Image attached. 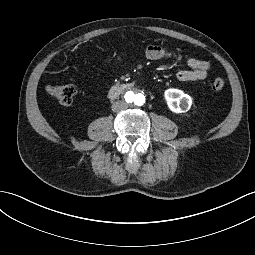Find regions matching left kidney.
I'll return each mask as SVG.
<instances>
[{
    "label": "left kidney",
    "instance_id": "5707ae66",
    "mask_svg": "<svg viewBox=\"0 0 255 255\" xmlns=\"http://www.w3.org/2000/svg\"><path fill=\"white\" fill-rule=\"evenodd\" d=\"M164 99L172 113L179 114L187 112L192 106L193 99L185 94L183 90L168 88L164 92Z\"/></svg>",
    "mask_w": 255,
    "mask_h": 255
}]
</instances>
